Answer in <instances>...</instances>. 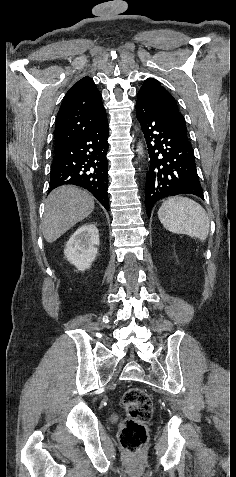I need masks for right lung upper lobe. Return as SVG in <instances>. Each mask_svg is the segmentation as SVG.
Masks as SVG:
<instances>
[{"label": "right lung upper lobe", "mask_w": 236, "mask_h": 477, "mask_svg": "<svg viewBox=\"0 0 236 477\" xmlns=\"http://www.w3.org/2000/svg\"><path fill=\"white\" fill-rule=\"evenodd\" d=\"M107 120L102 97L89 77L76 82L65 95L55 125V153Z\"/></svg>", "instance_id": "right-lung-upper-lobe-1"}]
</instances>
